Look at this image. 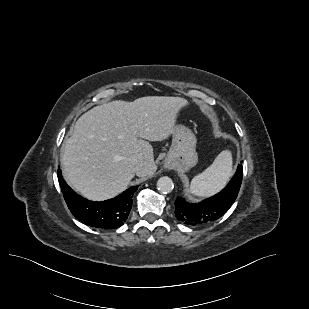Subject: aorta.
Segmentation results:
<instances>
[{
  "instance_id": "762f6f07",
  "label": "aorta",
  "mask_w": 309,
  "mask_h": 309,
  "mask_svg": "<svg viewBox=\"0 0 309 309\" xmlns=\"http://www.w3.org/2000/svg\"><path fill=\"white\" fill-rule=\"evenodd\" d=\"M174 188V184L171 178L167 177V176H163L161 178L158 179L157 181V189L159 192L163 193V194H168L170 192H172Z\"/></svg>"
}]
</instances>
